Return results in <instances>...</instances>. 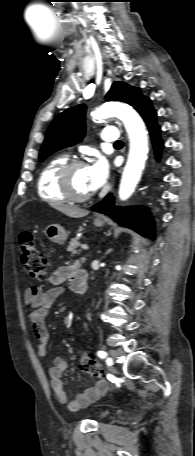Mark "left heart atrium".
I'll return each mask as SVG.
<instances>
[{"instance_id":"39dd6f15","label":"left heart atrium","mask_w":195,"mask_h":456,"mask_svg":"<svg viewBox=\"0 0 195 456\" xmlns=\"http://www.w3.org/2000/svg\"><path fill=\"white\" fill-rule=\"evenodd\" d=\"M87 168L90 190L95 191L100 188L108 178V163L105 159L98 158Z\"/></svg>"}]
</instances>
